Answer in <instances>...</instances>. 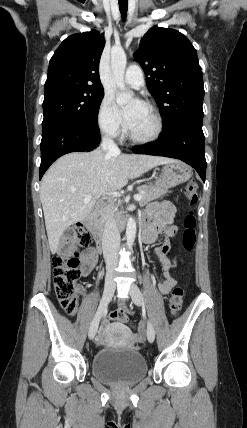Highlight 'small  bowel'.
Here are the masks:
<instances>
[{"mask_svg": "<svg viewBox=\"0 0 247 428\" xmlns=\"http://www.w3.org/2000/svg\"><path fill=\"white\" fill-rule=\"evenodd\" d=\"M175 208L169 201H162L152 205L150 210L143 216V240L146 243H153L158 234L165 232L169 237H176L177 227L174 225ZM169 245L164 243L154 249L157 259L162 264L163 280L159 284V289L162 294H168L175 286L176 281L171 274L173 268L176 267V258L170 259L167 255ZM97 262V253L94 249H87L81 254L82 274L88 276L94 269ZM127 309L123 304L118 310ZM128 319V318H127ZM106 325V324H105ZM141 340V335L131 334L128 341L135 343ZM98 344L105 343L104 333L97 336Z\"/></svg>", "mask_w": 247, "mask_h": 428, "instance_id": "1", "label": "small bowel"}]
</instances>
